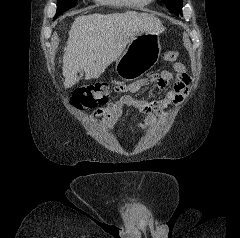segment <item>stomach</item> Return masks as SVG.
Instances as JSON below:
<instances>
[{
    "label": "stomach",
    "mask_w": 240,
    "mask_h": 238,
    "mask_svg": "<svg viewBox=\"0 0 240 238\" xmlns=\"http://www.w3.org/2000/svg\"><path fill=\"white\" fill-rule=\"evenodd\" d=\"M160 54V33L144 32L134 37L116 60V72L123 79H137L157 63Z\"/></svg>",
    "instance_id": "stomach-1"
}]
</instances>
